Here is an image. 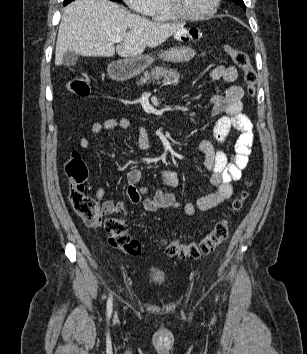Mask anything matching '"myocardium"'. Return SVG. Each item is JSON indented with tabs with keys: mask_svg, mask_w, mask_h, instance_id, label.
I'll return each instance as SVG.
<instances>
[{
	"mask_svg": "<svg viewBox=\"0 0 307 354\" xmlns=\"http://www.w3.org/2000/svg\"><path fill=\"white\" fill-rule=\"evenodd\" d=\"M165 2L169 12L174 18L188 21H201L210 18L218 11L221 0H214L212 6L206 12L195 15L184 12L180 5V0H165Z\"/></svg>",
	"mask_w": 307,
	"mask_h": 354,
	"instance_id": "1",
	"label": "myocardium"
}]
</instances>
